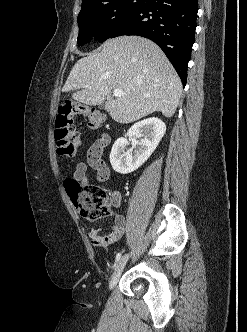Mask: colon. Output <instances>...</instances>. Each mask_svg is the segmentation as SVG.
<instances>
[{
  "mask_svg": "<svg viewBox=\"0 0 247 332\" xmlns=\"http://www.w3.org/2000/svg\"><path fill=\"white\" fill-rule=\"evenodd\" d=\"M75 114L85 115L91 129H97L104 121L103 113L95 107L63 103L55 118L54 137L58 153L67 157H74L80 144L79 136L73 127L72 118ZM65 188L84 218L96 220L111 215V201L102 188L95 185L82 187L73 178L65 180Z\"/></svg>",
  "mask_w": 247,
  "mask_h": 332,
  "instance_id": "1",
  "label": "colon"
}]
</instances>
